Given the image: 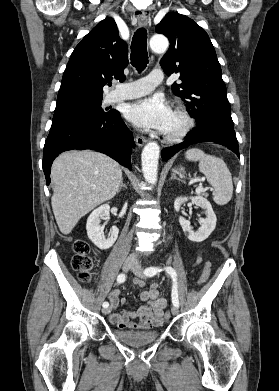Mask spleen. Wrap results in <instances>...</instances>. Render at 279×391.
I'll list each match as a JSON object with an SVG mask.
<instances>
[{
  "label": "spleen",
  "mask_w": 279,
  "mask_h": 391,
  "mask_svg": "<svg viewBox=\"0 0 279 391\" xmlns=\"http://www.w3.org/2000/svg\"><path fill=\"white\" fill-rule=\"evenodd\" d=\"M185 157L189 161H198L199 170L214 188L213 200L218 205L227 204L233 194L231 173L225 162L216 156L205 154L198 148L186 151Z\"/></svg>",
  "instance_id": "obj_1"
}]
</instances>
